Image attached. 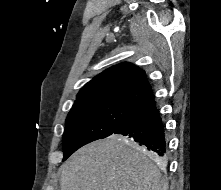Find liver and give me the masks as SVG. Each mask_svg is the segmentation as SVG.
Instances as JSON below:
<instances>
[{
  "label": "liver",
  "instance_id": "1",
  "mask_svg": "<svg viewBox=\"0 0 221 190\" xmlns=\"http://www.w3.org/2000/svg\"><path fill=\"white\" fill-rule=\"evenodd\" d=\"M118 135L92 142L60 167V190H168L159 160Z\"/></svg>",
  "mask_w": 221,
  "mask_h": 190
}]
</instances>
